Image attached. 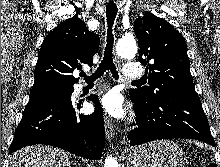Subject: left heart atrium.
<instances>
[{"label":"left heart atrium","mask_w":220,"mask_h":167,"mask_svg":"<svg viewBox=\"0 0 220 167\" xmlns=\"http://www.w3.org/2000/svg\"><path fill=\"white\" fill-rule=\"evenodd\" d=\"M101 106L106 113L113 117H121L124 115L121 98L115 93L105 95L101 100Z\"/></svg>","instance_id":"1"}]
</instances>
